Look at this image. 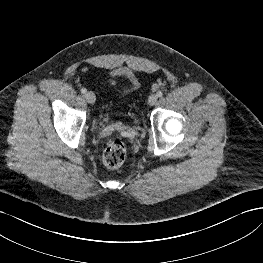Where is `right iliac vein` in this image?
I'll list each match as a JSON object with an SVG mask.
<instances>
[{
  "label": "right iliac vein",
  "instance_id": "1",
  "mask_svg": "<svg viewBox=\"0 0 263 263\" xmlns=\"http://www.w3.org/2000/svg\"><path fill=\"white\" fill-rule=\"evenodd\" d=\"M85 99L86 101L89 103V104H94L95 101H96V96L93 92L91 91H88L86 94H85Z\"/></svg>",
  "mask_w": 263,
  "mask_h": 263
}]
</instances>
